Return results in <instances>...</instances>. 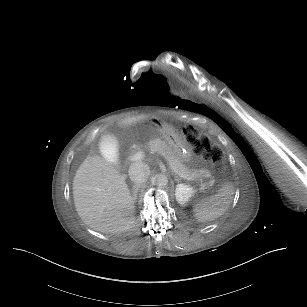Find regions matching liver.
Returning <instances> with one entry per match:
<instances>
[{
  "label": "liver",
  "mask_w": 307,
  "mask_h": 307,
  "mask_svg": "<svg viewBox=\"0 0 307 307\" xmlns=\"http://www.w3.org/2000/svg\"><path fill=\"white\" fill-rule=\"evenodd\" d=\"M148 120V116L127 117L119 122L129 127ZM75 208L81 220L101 233H121L136 220L134 202L125 177L100 156H88L73 180Z\"/></svg>",
  "instance_id": "liver-1"
}]
</instances>
